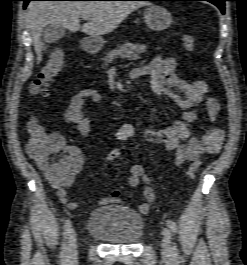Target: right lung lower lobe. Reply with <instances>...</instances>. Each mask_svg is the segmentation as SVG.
Returning <instances> with one entry per match:
<instances>
[{
  "label": "right lung lower lobe",
  "instance_id": "98d812e1",
  "mask_svg": "<svg viewBox=\"0 0 247 265\" xmlns=\"http://www.w3.org/2000/svg\"><path fill=\"white\" fill-rule=\"evenodd\" d=\"M24 1V8L27 6V4L29 3V1H32V0H23Z\"/></svg>",
  "mask_w": 247,
  "mask_h": 265
}]
</instances>
